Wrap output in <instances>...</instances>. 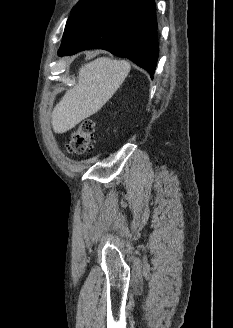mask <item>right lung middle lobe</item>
I'll return each mask as SVG.
<instances>
[{"mask_svg": "<svg viewBox=\"0 0 233 328\" xmlns=\"http://www.w3.org/2000/svg\"><path fill=\"white\" fill-rule=\"evenodd\" d=\"M92 0H79V2L76 4V6L73 8L72 12H76L79 9L83 8L86 6L88 3H90Z\"/></svg>", "mask_w": 233, "mask_h": 328, "instance_id": "right-lung-middle-lobe-1", "label": "right lung middle lobe"}]
</instances>
